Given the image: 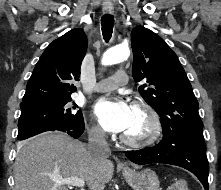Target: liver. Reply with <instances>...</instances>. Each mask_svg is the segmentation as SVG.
<instances>
[{"instance_id":"liver-1","label":"liver","mask_w":221,"mask_h":190,"mask_svg":"<svg viewBox=\"0 0 221 190\" xmlns=\"http://www.w3.org/2000/svg\"><path fill=\"white\" fill-rule=\"evenodd\" d=\"M113 163L95 160L86 146L63 133H44L18 145L14 190H68L53 178L83 179L89 190H104L112 179Z\"/></svg>"}]
</instances>
